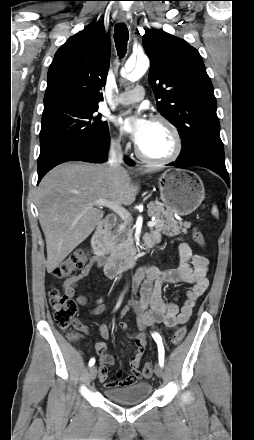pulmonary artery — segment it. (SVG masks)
<instances>
[{"label": "pulmonary artery", "instance_id": "1", "mask_svg": "<svg viewBox=\"0 0 254 440\" xmlns=\"http://www.w3.org/2000/svg\"><path fill=\"white\" fill-rule=\"evenodd\" d=\"M145 96L143 86H136L130 91L122 92L115 97V104L127 105L142 100Z\"/></svg>", "mask_w": 254, "mask_h": 440}]
</instances>
